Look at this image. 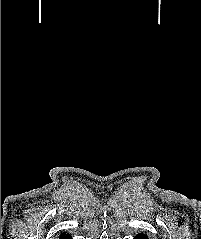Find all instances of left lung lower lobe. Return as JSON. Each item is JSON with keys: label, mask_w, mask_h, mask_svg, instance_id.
<instances>
[{"label": "left lung lower lobe", "mask_w": 201, "mask_h": 239, "mask_svg": "<svg viewBox=\"0 0 201 239\" xmlns=\"http://www.w3.org/2000/svg\"><path fill=\"white\" fill-rule=\"evenodd\" d=\"M134 239H149L145 234H137Z\"/></svg>", "instance_id": "left-lung-lower-lobe-1"}]
</instances>
